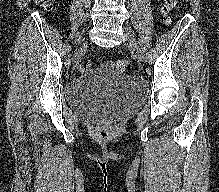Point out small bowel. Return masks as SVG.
<instances>
[{"mask_svg": "<svg viewBox=\"0 0 219 192\" xmlns=\"http://www.w3.org/2000/svg\"><path fill=\"white\" fill-rule=\"evenodd\" d=\"M89 67H92V65H91V64H89Z\"/></svg>", "mask_w": 219, "mask_h": 192, "instance_id": "small-bowel-1", "label": "small bowel"}]
</instances>
